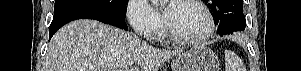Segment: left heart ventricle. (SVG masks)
Listing matches in <instances>:
<instances>
[{
	"instance_id": "1",
	"label": "left heart ventricle",
	"mask_w": 301,
	"mask_h": 71,
	"mask_svg": "<svg viewBox=\"0 0 301 71\" xmlns=\"http://www.w3.org/2000/svg\"><path fill=\"white\" fill-rule=\"evenodd\" d=\"M164 14L175 32L184 37L201 36L207 28L204 13L188 2L166 3L164 4Z\"/></svg>"
}]
</instances>
